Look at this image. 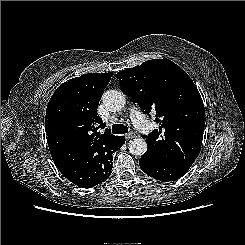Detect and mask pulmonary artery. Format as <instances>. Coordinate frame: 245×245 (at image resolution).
I'll return each mask as SVG.
<instances>
[{"label":"pulmonary artery","instance_id":"1","mask_svg":"<svg viewBox=\"0 0 245 245\" xmlns=\"http://www.w3.org/2000/svg\"><path fill=\"white\" fill-rule=\"evenodd\" d=\"M130 117L133 125L142 133H147L150 129V124L148 123L145 116L137 108H132L130 111Z\"/></svg>","mask_w":245,"mask_h":245}]
</instances>
